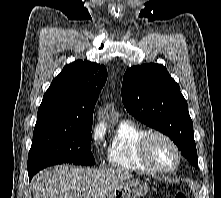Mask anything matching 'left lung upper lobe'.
Returning <instances> with one entry per match:
<instances>
[{"instance_id": "1", "label": "left lung upper lobe", "mask_w": 221, "mask_h": 198, "mask_svg": "<svg viewBox=\"0 0 221 198\" xmlns=\"http://www.w3.org/2000/svg\"><path fill=\"white\" fill-rule=\"evenodd\" d=\"M122 102L139 121L168 135L183 156L198 167L187 101L163 65L150 63L128 69L123 77Z\"/></svg>"}]
</instances>
